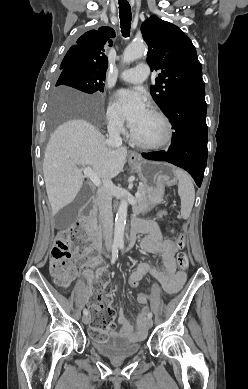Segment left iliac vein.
Segmentation results:
<instances>
[{"label": "left iliac vein", "mask_w": 248, "mask_h": 389, "mask_svg": "<svg viewBox=\"0 0 248 389\" xmlns=\"http://www.w3.org/2000/svg\"><path fill=\"white\" fill-rule=\"evenodd\" d=\"M147 325H148L149 328H151L153 326V320L151 318H149L147 320Z\"/></svg>", "instance_id": "1"}]
</instances>
